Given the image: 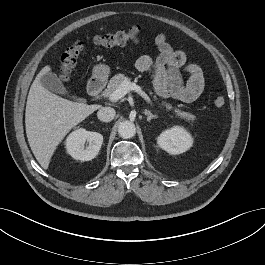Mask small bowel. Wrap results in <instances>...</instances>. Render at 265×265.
I'll return each instance as SVG.
<instances>
[{
    "label": "small bowel",
    "instance_id": "small-bowel-1",
    "mask_svg": "<svg viewBox=\"0 0 265 265\" xmlns=\"http://www.w3.org/2000/svg\"><path fill=\"white\" fill-rule=\"evenodd\" d=\"M155 43L159 55L155 59L149 55L140 56L136 60V68L141 72H153L158 96L172 97L187 103L196 100L204 89L201 68L197 64L189 63L183 50L173 49L164 34H158ZM181 70L189 76L186 83L182 79Z\"/></svg>",
    "mask_w": 265,
    "mask_h": 265
}]
</instances>
